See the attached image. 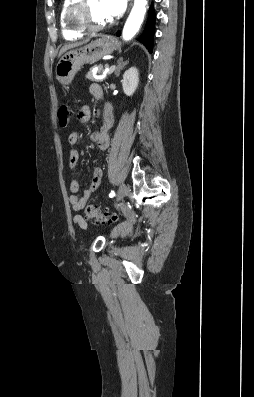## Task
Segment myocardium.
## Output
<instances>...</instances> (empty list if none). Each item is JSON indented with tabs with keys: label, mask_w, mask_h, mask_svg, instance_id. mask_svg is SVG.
<instances>
[{
	"label": "myocardium",
	"mask_w": 254,
	"mask_h": 397,
	"mask_svg": "<svg viewBox=\"0 0 254 397\" xmlns=\"http://www.w3.org/2000/svg\"><path fill=\"white\" fill-rule=\"evenodd\" d=\"M88 1L77 0L72 4L67 12L66 20L68 25L76 30L84 33H92L101 31L109 26V23L95 25L89 19Z\"/></svg>",
	"instance_id": "myocardium-1"
}]
</instances>
